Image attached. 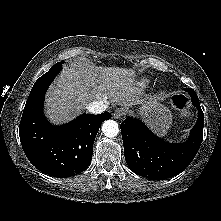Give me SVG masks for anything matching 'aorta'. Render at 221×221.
Returning <instances> with one entry per match:
<instances>
[{"instance_id": "1", "label": "aorta", "mask_w": 221, "mask_h": 221, "mask_svg": "<svg viewBox=\"0 0 221 221\" xmlns=\"http://www.w3.org/2000/svg\"><path fill=\"white\" fill-rule=\"evenodd\" d=\"M102 132L106 137L109 138L117 136L119 133L118 123L114 120H106L102 124Z\"/></svg>"}]
</instances>
